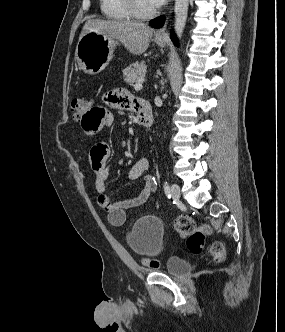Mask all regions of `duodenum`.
<instances>
[{
    "label": "duodenum",
    "instance_id": "obj_1",
    "mask_svg": "<svg viewBox=\"0 0 285 332\" xmlns=\"http://www.w3.org/2000/svg\"><path fill=\"white\" fill-rule=\"evenodd\" d=\"M138 113L141 125L150 130L153 126L154 118L149 103L145 100H137Z\"/></svg>",
    "mask_w": 285,
    "mask_h": 332
}]
</instances>
